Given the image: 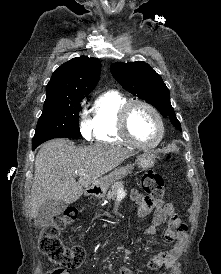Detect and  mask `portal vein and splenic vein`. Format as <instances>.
<instances>
[{
	"instance_id": "1",
	"label": "portal vein and splenic vein",
	"mask_w": 221,
	"mask_h": 274,
	"mask_svg": "<svg viewBox=\"0 0 221 274\" xmlns=\"http://www.w3.org/2000/svg\"><path fill=\"white\" fill-rule=\"evenodd\" d=\"M84 174V172L83 171H78V173H77V175H83Z\"/></svg>"
}]
</instances>
